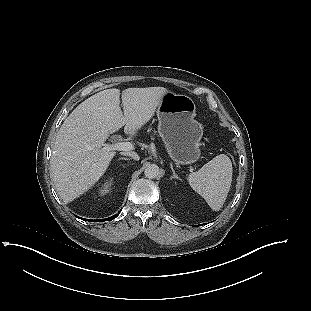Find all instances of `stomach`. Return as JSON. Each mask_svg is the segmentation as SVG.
Returning a JSON list of instances; mask_svg holds the SVG:
<instances>
[{
	"label": "stomach",
	"instance_id": "0dacf381",
	"mask_svg": "<svg viewBox=\"0 0 311 311\" xmlns=\"http://www.w3.org/2000/svg\"><path fill=\"white\" fill-rule=\"evenodd\" d=\"M196 106L191 97L166 91L157 107L158 133L173 161L187 165L200 157L202 125L194 119Z\"/></svg>",
	"mask_w": 311,
	"mask_h": 311
}]
</instances>
